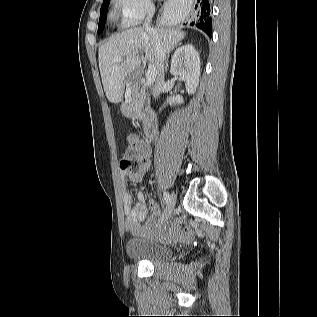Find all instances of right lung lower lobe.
<instances>
[{
    "label": "right lung lower lobe",
    "mask_w": 317,
    "mask_h": 317,
    "mask_svg": "<svg viewBox=\"0 0 317 317\" xmlns=\"http://www.w3.org/2000/svg\"><path fill=\"white\" fill-rule=\"evenodd\" d=\"M191 26L203 30L210 38L212 35L211 8L209 0H194Z\"/></svg>",
    "instance_id": "98d812e1"
}]
</instances>
